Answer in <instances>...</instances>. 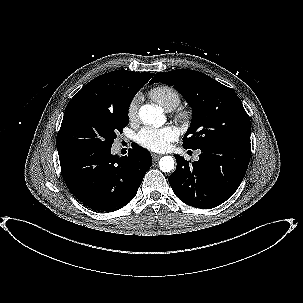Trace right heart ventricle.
Here are the masks:
<instances>
[{"instance_id": "obj_1", "label": "right heart ventricle", "mask_w": 303, "mask_h": 303, "mask_svg": "<svg viewBox=\"0 0 303 303\" xmlns=\"http://www.w3.org/2000/svg\"><path fill=\"white\" fill-rule=\"evenodd\" d=\"M149 96L166 111L176 109L181 103L179 92L173 87L160 85L149 91Z\"/></svg>"}]
</instances>
